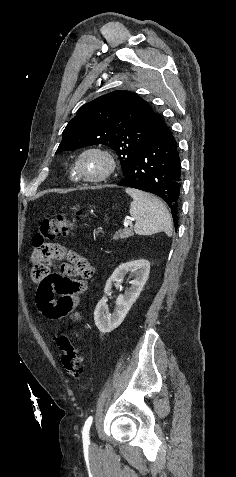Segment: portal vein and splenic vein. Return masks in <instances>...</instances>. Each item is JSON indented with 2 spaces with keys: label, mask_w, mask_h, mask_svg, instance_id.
<instances>
[{
  "label": "portal vein and splenic vein",
  "mask_w": 236,
  "mask_h": 477,
  "mask_svg": "<svg viewBox=\"0 0 236 477\" xmlns=\"http://www.w3.org/2000/svg\"><path fill=\"white\" fill-rule=\"evenodd\" d=\"M124 226H125V227L132 226V221H131V220H126V221L124 222Z\"/></svg>",
  "instance_id": "18ae733b"
}]
</instances>
